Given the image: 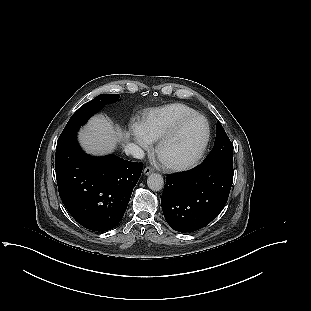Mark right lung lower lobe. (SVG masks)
<instances>
[{"instance_id": "right-lung-lower-lobe-1", "label": "right lung lower lobe", "mask_w": 311, "mask_h": 311, "mask_svg": "<svg viewBox=\"0 0 311 311\" xmlns=\"http://www.w3.org/2000/svg\"><path fill=\"white\" fill-rule=\"evenodd\" d=\"M143 164L114 155L92 157L76 135L57 145L55 171L60 198L72 217L93 231H107L122 219Z\"/></svg>"}]
</instances>
